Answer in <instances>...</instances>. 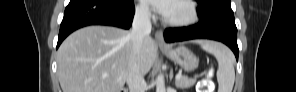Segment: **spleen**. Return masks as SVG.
<instances>
[{
    "label": "spleen",
    "instance_id": "obj_1",
    "mask_svg": "<svg viewBox=\"0 0 296 92\" xmlns=\"http://www.w3.org/2000/svg\"><path fill=\"white\" fill-rule=\"evenodd\" d=\"M201 47L208 53L214 55L218 62L217 81L219 92H232L235 71L234 57L231 51L224 45L215 42H203Z\"/></svg>",
    "mask_w": 296,
    "mask_h": 92
}]
</instances>
